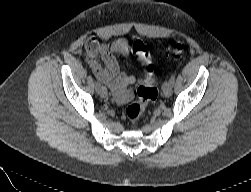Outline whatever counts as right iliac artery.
<instances>
[{"instance_id": "obj_1", "label": "right iliac artery", "mask_w": 251, "mask_h": 192, "mask_svg": "<svg viewBox=\"0 0 251 192\" xmlns=\"http://www.w3.org/2000/svg\"><path fill=\"white\" fill-rule=\"evenodd\" d=\"M101 84L97 81L95 82V87H96V90H98L100 88Z\"/></svg>"}]
</instances>
